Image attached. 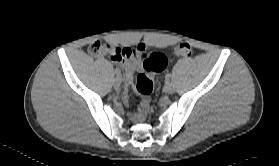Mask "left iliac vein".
<instances>
[{
  "instance_id": "4c4485c4",
  "label": "left iliac vein",
  "mask_w": 279,
  "mask_h": 166,
  "mask_svg": "<svg viewBox=\"0 0 279 166\" xmlns=\"http://www.w3.org/2000/svg\"><path fill=\"white\" fill-rule=\"evenodd\" d=\"M164 91L166 93L172 94L175 91L174 85L170 81H167L164 86Z\"/></svg>"
}]
</instances>
